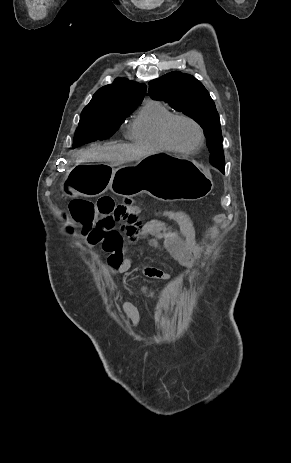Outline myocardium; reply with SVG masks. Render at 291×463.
<instances>
[{
  "instance_id": "f54148a6",
  "label": "myocardium",
  "mask_w": 291,
  "mask_h": 463,
  "mask_svg": "<svg viewBox=\"0 0 291 463\" xmlns=\"http://www.w3.org/2000/svg\"><path fill=\"white\" fill-rule=\"evenodd\" d=\"M178 120L188 121L191 124H193L195 128L197 129L198 135H199L198 143L193 148H187V149L183 148L179 146L178 144H176V142L173 140L171 136V129L174 123ZM162 134H163V138L165 142L167 143V145L172 150L182 153V154H194L198 152L203 147L204 142H205V134H204L203 127L200 125V123L197 120H195L191 116L184 115V114H175L172 117H170L163 126Z\"/></svg>"
}]
</instances>
